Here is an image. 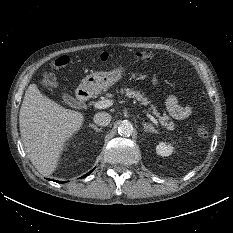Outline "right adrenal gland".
Masks as SVG:
<instances>
[{"mask_svg":"<svg viewBox=\"0 0 233 233\" xmlns=\"http://www.w3.org/2000/svg\"><path fill=\"white\" fill-rule=\"evenodd\" d=\"M89 127L93 128L96 132H100L102 131V128H98L96 125L94 124H90Z\"/></svg>","mask_w":233,"mask_h":233,"instance_id":"2a0ac1e0","label":"right adrenal gland"}]
</instances>
